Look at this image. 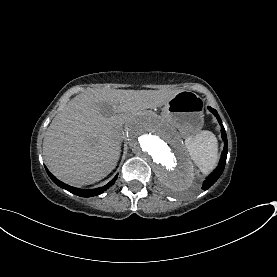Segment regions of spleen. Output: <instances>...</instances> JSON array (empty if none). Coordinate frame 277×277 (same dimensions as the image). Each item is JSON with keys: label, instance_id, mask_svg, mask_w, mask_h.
<instances>
[{"label": "spleen", "instance_id": "1", "mask_svg": "<svg viewBox=\"0 0 277 277\" xmlns=\"http://www.w3.org/2000/svg\"><path fill=\"white\" fill-rule=\"evenodd\" d=\"M186 147L192 160L204 173L214 168L217 162V141L209 131H198L186 139Z\"/></svg>", "mask_w": 277, "mask_h": 277}]
</instances>
